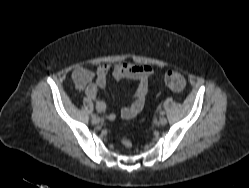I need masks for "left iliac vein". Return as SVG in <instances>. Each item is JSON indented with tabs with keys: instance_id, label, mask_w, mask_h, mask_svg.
<instances>
[{
	"instance_id": "left-iliac-vein-1",
	"label": "left iliac vein",
	"mask_w": 249,
	"mask_h": 188,
	"mask_svg": "<svg viewBox=\"0 0 249 188\" xmlns=\"http://www.w3.org/2000/svg\"><path fill=\"white\" fill-rule=\"evenodd\" d=\"M159 124L162 125V126L166 125L167 124V119L165 117H161L159 119Z\"/></svg>"
}]
</instances>
